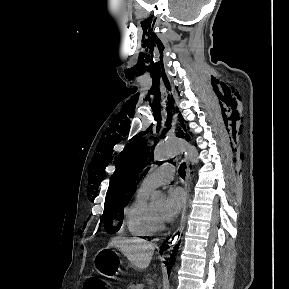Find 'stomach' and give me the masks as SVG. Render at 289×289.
I'll return each instance as SVG.
<instances>
[{"instance_id": "0dacf381", "label": "stomach", "mask_w": 289, "mask_h": 289, "mask_svg": "<svg viewBox=\"0 0 289 289\" xmlns=\"http://www.w3.org/2000/svg\"><path fill=\"white\" fill-rule=\"evenodd\" d=\"M119 254L111 248H103L95 256V269L105 277L114 278L120 273Z\"/></svg>"}]
</instances>
